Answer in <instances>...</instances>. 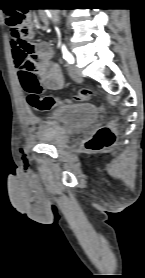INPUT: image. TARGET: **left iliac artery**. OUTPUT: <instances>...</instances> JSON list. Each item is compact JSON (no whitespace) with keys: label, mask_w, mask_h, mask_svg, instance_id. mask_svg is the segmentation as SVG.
<instances>
[{"label":"left iliac artery","mask_w":145,"mask_h":278,"mask_svg":"<svg viewBox=\"0 0 145 278\" xmlns=\"http://www.w3.org/2000/svg\"><path fill=\"white\" fill-rule=\"evenodd\" d=\"M62 53H63V58H64L69 64H73V63H74V58H73V56L70 54V52L67 50V48H66L65 45L62 46Z\"/></svg>","instance_id":"44dca946"}]
</instances>
